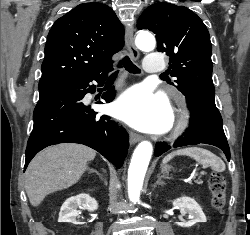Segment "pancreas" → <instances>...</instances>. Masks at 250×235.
I'll use <instances>...</instances> for the list:
<instances>
[{
  "label": "pancreas",
  "mask_w": 250,
  "mask_h": 235,
  "mask_svg": "<svg viewBox=\"0 0 250 235\" xmlns=\"http://www.w3.org/2000/svg\"><path fill=\"white\" fill-rule=\"evenodd\" d=\"M196 183L201 184V183H202V181H198V180H197V181H196Z\"/></svg>",
  "instance_id": "pancreas-1"
}]
</instances>
